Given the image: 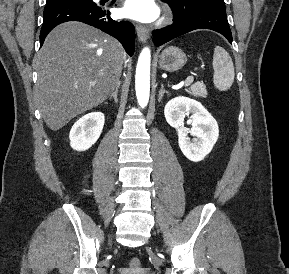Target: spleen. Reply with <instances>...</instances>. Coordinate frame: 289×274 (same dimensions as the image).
<instances>
[{
	"instance_id": "1",
	"label": "spleen",
	"mask_w": 289,
	"mask_h": 274,
	"mask_svg": "<svg viewBox=\"0 0 289 274\" xmlns=\"http://www.w3.org/2000/svg\"><path fill=\"white\" fill-rule=\"evenodd\" d=\"M213 83L220 91L228 90L234 82V66L229 53L216 46L213 55Z\"/></svg>"
}]
</instances>
